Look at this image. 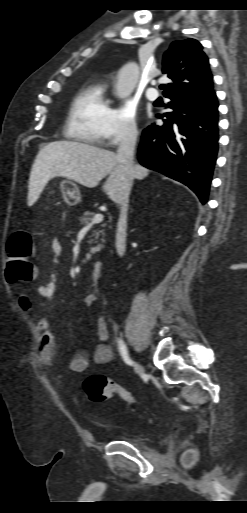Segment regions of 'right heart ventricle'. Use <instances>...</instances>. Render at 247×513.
Listing matches in <instances>:
<instances>
[{
    "mask_svg": "<svg viewBox=\"0 0 247 513\" xmlns=\"http://www.w3.org/2000/svg\"><path fill=\"white\" fill-rule=\"evenodd\" d=\"M110 110L104 83L86 84L76 93L70 105L65 126L66 138L86 144H102Z\"/></svg>",
    "mask_w": 247,
    "mask_h": 513,
    "instance_id": "right-heart-ventricle-1",
    "label": "right heart ventricle"
}]
</instances>
